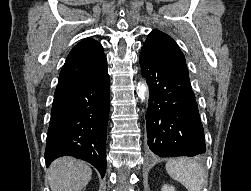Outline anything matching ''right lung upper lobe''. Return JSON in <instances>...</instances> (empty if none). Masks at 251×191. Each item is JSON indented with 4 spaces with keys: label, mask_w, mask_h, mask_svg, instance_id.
<instances>
[{
    "label": "right lung upper lobe",
    "mask_w": 251,
    "mask_h": 191,
    "mask_svg": "<svg viewBox=\"0 0 251 191\" xmlns=\"http://www.w3.org/2000/svg\"><path fill=\"white\" fill-rule=\"evenodd\" d=\"M107 74V60L101 44L92 38L84 39L69 53L54 96L89 85Z\"/></svg>",
    "instance_id": "1"
}]
</instances>
